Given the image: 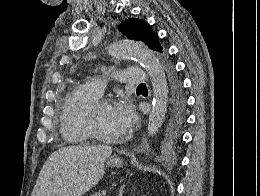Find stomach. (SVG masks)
I'll use <instances>...</instances> for the list:
<instances>
[{"label":"stomach","instance_id":"0dacf381","mask_svg":"<svg viewBox=\"0 0 260 196\" xmlns=\"http://www.w3.org/2000/svg\"><path fill=\"white\" fill-rule=\"evenodd\" d=\"M124 164V160L122 158H118V156H112L106 162V168H122Z\"/></svg>","mask_w":260,"mask_h":196}]
</instances>
